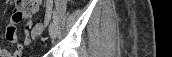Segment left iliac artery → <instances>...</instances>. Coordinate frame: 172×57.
Here are the masks:
<instances>
[{
    "instance_id": "left-iliac-artery-1",
    "label": "left iliac artery",
    "mask_w": 172,
    "mask_h": 57,
    "mask_svg": "<svg viewBox=\"0 0 172 57\" xmlns=\"http://www.w3.org/2000/svg\"><path fill=\"white\" fill-rule=\"evenodd\" d=\"M47 5H48V12H47V14H48V16H51V14H52L53 1L52 0H48L47 1ZM53 22L55 24H58V19H57V16L55 14L53 15Z\"/></svg>"
}]
</instances>
